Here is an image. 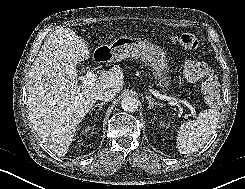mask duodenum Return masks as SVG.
<instances>
[{
	"instance_id": "duodenum-1",
	"label": "duodenum",
	"mask_w": 245,
	"mask_h": 189,
	"mask_svg": "<svg viewBox=\"0 0 245 189\" xmlns=\"http://www.w3.org/2000/svg\"><path fill=\"white\" fill-rule=\"evenodd\" d=\"M106 56H107V53L105 55H96L94 58H95V60L99 61V60L104 59Z\"/></svg>"
}]
</instances>
